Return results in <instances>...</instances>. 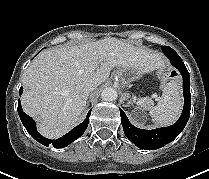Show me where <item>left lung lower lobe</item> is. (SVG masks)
Instances as JSON below:
<instances>
[{
  "label": "left lung lower lobe",
  "instance_id": "obj_1",
  "mask_svg": "<svg viewBox=\"0 0 209 179\" xmlns=\"http://www.w3.org/2000/svg\"><path fill=\"white\" fill-rule=\"evenodd\" d=\"M165 55L170 59L171 64L179 70L183 77L184 108L178 121L164 128L154 130L139 129L132 125L126 114L120 109L121 122L126 137L137 147L145 150H155L172 142L186 126L191 109L190 76L179 55L173 50Z\"/></svg>",
  "mask_w": 209,
  "mask_h": 179
}]
</instances>
